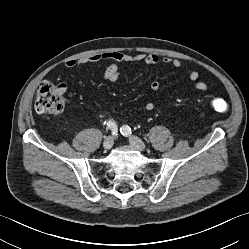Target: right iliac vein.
I'll use <instances>...</instances> for the list:
<instances>
[{
	"label": "right iliac vein",
	"mask_w": 249,
	"mask_h": 249,
	"mask_svg": "<svg viewBox=\"0 0 249 249\" xmlns=\"http://www.w3.org/2000/svg\"><path fill=\"white\" fill-rule=\"evenodd\" d=\"M114 143V139L112 136H108L105 138L104 143H103V147L105 150H109L111 149V147L113 146Z\"/></svg>",
	"instance_id": "right-iliac-vein-1"
}]
</instances>
